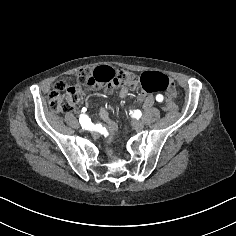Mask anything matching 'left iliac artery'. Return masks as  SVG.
<instances>
[{"mask_svg": "<svg viewBox=\"0 0 236 236\" xmlns=\"http://www.w3.org/2000/svg\"><path fill=\"white\" fill-rule=\"evenodd\" d=\"M156 100H157L158 102H162V101H163V96H162L161 94H158V95L156 96Z\"/></svg>", "mask_w": 236, "mask_h": 236, "instance_id": "left-iliac-artery-1", "label": "left iliac artery"}]
</instances>
